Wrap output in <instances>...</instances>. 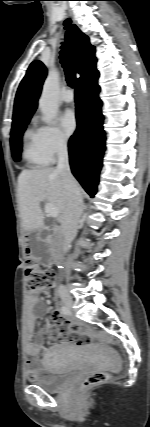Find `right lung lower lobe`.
<instances>
[{
    "label": "right lung lower lobe",
    "instance_id": "obj_1",
    "mask_svg": "<svg viewBox=\"0 0 150 427\" xmlns=\"http://www.w3.org/2000/svg\"><path fill=\"white\" fill-rule=\"evenodd\" d=\"M99 73L89 80L77 83L75 91L77 129L68 143L70 166L86 192L94 197L105 150L102 128L101 101L98 98Z\"/></svg>",
    "mask_w": 150,
    "mask_h": 427
}]
</instances>
